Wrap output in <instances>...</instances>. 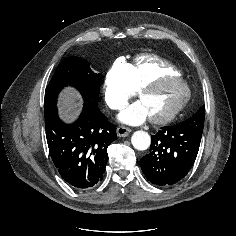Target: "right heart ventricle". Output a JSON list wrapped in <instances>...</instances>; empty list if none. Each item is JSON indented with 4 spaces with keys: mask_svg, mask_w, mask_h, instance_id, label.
<instances>
[{
    "mask_svg": "<svg viewBox=\"0 0 236 236\" xmlns=\"http://www.w3.org/2000/svg\"><path fill=\"white\" fill-rule=\"evenodd\" d=\"M129 85L137 90L149 80L161 75L180 76V70L169 61L151 54H143L134 58L129 64Z\"/></svg>",
    "mask_w": 236,
    "mask_h": 236,
    "instance_id": "e07e8e85",
    "label": "right heart ventricle"
}]
</instances>
